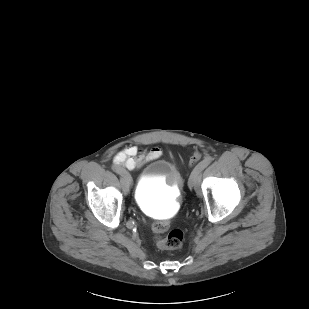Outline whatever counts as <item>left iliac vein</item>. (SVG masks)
<instances>
[{
    "label": "left iliac vein",
    "mask_w": 309,
    "mask_h": 309,
    "mask_svg": "<svg viewBox=\"0 0 309 309\" xmlns=\"http://www.w3.org/2000/svg\"><path fill=\"white\" fill-rule=\"evenodd\" d=\"M200 173L196 175L194 180H189L188 185L189 188H194V190L196 191L197 194L200 193V184H199V177Z\"/></svg>",
    "instance_id": "4c4485c4"
}]
</instances>
